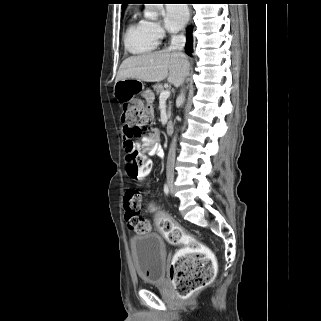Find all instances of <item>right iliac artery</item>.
Masks as SVG:
<instances>
[{"label": "right iliac artery", "instance_id": "1", "mask_svg": "<svg viewBox=\"0 0 321 321\" xmlns=\"http://www.w3.org/2000/svg\"><path fill=\"white\" fill-rule=\"evenodd\" d=\"M164 193H165L166 195L169 194V188H168V185H167V184L164 185Z\"/></svg>", "mask_w": 321, "mask_h": 321}]
</instances>
